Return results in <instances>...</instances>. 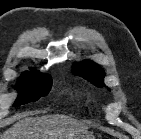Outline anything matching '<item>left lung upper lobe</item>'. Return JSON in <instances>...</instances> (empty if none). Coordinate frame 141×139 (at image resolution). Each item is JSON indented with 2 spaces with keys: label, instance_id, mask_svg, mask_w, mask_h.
Instances as JSON below:
<instances>
[{
  "label": "left lung upper lobe",
  "instance_id": "5c2ea615",
  "mask_svg": "<svg viewBox=\"0 0 141 139\" xmlns=\"http://www.w3.org/2000/svg\"><path fill=\"white\" fill-rule=\"evenodd\" d=\"M72 71L75 75L82 76L97 87L104 86V70L92 61L85 60L75 64Z\"/></svg>",
  "mask_w": 141,
  "mask_h": 139
}]
</instances>
